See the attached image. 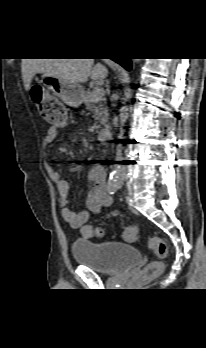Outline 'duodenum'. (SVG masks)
<instances>
[{
    "label": "duodenum",
    "instance_id": "duodenum-1",
    "mask_svg": "<svg viewBox=\"0 0 206 348\" xmlns=\"http://www.w3.org/2000/svg\"><path fill=\"white\" fill-rule=\"evenodd\" d=\"M110 135H112V131L109 129H103L99 132V138L102 140H106L110 137Z\"/></svg>",
    "mask_w": 206,
    "mask_h": 348
}]
</instances>
